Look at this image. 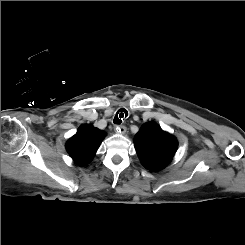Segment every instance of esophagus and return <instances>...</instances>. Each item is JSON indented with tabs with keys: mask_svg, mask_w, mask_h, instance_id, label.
Returning a JSON list of instances; mask_svg holds the SVG:
<instances>
[{
	"mask_svg": "<svg viewBox=\"0 0 245 245\" xmlns=\"http://www.w3.org/2000/svg\"><path fill=\"white\" fill-rule=\"evenodd\" d=\"M115 129H116L117 133H120V134H125L126 130H127V128L123 125H118V126H116Z\"/></svg>",
	"mask_w": 245,
	"mask_h": 245,
	"instance_id": "1",
	"label": "esophagus"
}]
</instances>
